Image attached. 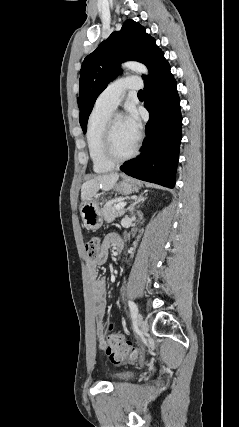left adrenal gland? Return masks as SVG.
Masks as SVG:
<instances>
[{"label": "left adrenal gland", "mask_w": 239, "mask_h": 427, "mask_svg": "<svg viewBox=\"0 0 239 427\" xmlns=\"http://www.w3.org/2000/svg\"><path fill=\"white\" fill-rule=\"evenodd\" d=\"M144 194L141 193L137 198L134 199V202L128 207V210L132 213L135 206L137 204H140L146 200V197L143 196Z\"/></svg>", "instance_id": "a2214340"}]
</instances>
